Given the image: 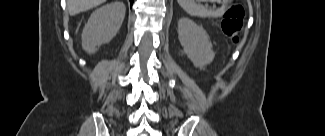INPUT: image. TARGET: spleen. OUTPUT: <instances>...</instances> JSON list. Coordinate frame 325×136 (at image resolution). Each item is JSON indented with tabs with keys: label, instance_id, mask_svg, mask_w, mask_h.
Masks as SVG:
<instances>
[{
	"label": "spleen",
	"instance_id": "1",
	"mask_svg": "<svg viewBox=\"0 0 325 136\" xmlns=\"http://www.w3.org/2000/svg\"><path fill=\"white\" fill-rule=\"evenodd\" d=\"M178 3L191 16L217 18L223 13V8L220 11L208 10L194 0H179Z\"/></svg>",
	"mask_w": 325,
	"mask_h": 136
}]
</instances>
